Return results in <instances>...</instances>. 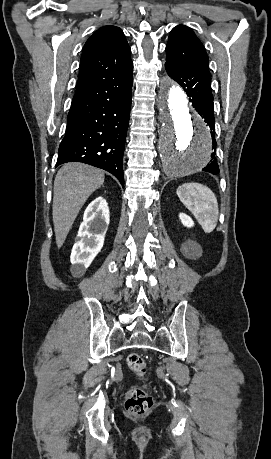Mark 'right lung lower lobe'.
<instances>
[{"label":"right lung lower lobe","mask_w":271,"mask_h":459,"mask_svg":"<svg viewBox=\"0 0 271 459\" xmlns=\"http://www.w3.org/2000/svg\"><path fill=\"white\" fill-rule=\"evenodd\" d=\"M132 73L74 98L56 166L83 162L116 176L124 186L123 153L132 102Z\"/></svg>","instance_id":"1"}]
</instances>
